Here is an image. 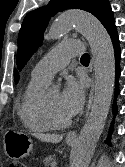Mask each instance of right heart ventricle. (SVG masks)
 Listing matches in <instances>:
<instances>
[{
    "instance_id": "1",
    "label": "right heart ventricle",
    "mask_w": 125,
    "mask_h": 167,
    "mask_svg": "<svg viewBox=\"0 0 125 167\" xmlns=\"http://www.w3.org/2000/svg\"><path fill=\"white\" fill-rule=\"evenodd\" d=\"M46 85L47 81L32 77L17 108V115L21 124L29 131L38 134L52 130L42 111Z\"/></svg>"
}]
</instances>
